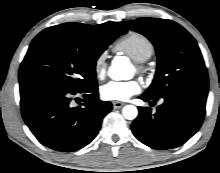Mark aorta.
I'll list each match as a JSON object with an SVG mask.
<instances>
[{
	"mask_svg": "<svg viewBox=\"0 0 220 173\" xmlns=\"http://www.w3.org/2000/svg\"><path fill=\"white\" fill-rule=\"evenodd\" d=\"M130 73L127 68L126 58L119 57L113 60L109 68V75L113 80H124L128 78ZM123 116L128 120H133L138 115V110L133 105H126L122 110Z\"/></svg>",
	"mask_w": 220,
	"mask_h": 173,
	"instance_id": "aorta-1",
	"label": "aorta"
}]
</instances>
